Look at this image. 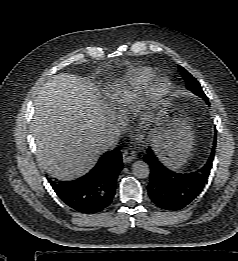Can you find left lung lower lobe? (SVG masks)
I'll return each instance as SVG.
<instances>
[{"mask_svg":"<svg viewBox=\"0 0 238 261\" xmlns=\"http://www.w3.org/2000/svg\"><path fill=\"white\" fill-rule=\"evenodd\" d=\"M215 147L216 136L207 162L198 169L182 173L163 165L154 151L148 148L143 159L150 167L147 189L151 200L165 210L177 211L186 207L199 195L207 182L214 160Z\"/></svg>","mask_w":238,"mask_h":261,"instance_id":"0a47b994","label":"left lung lower lobe"}]
</instances>
